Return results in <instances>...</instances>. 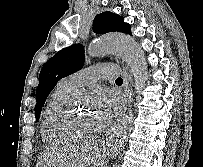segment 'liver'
Here are the masks:
<instances>
[{"mask_svg": "<svg viewBox=\"0 0 203 167\" xmlns=\"http://www.w3.org/2000/svg\"><path fill=\"white\" fill-rule=\"evenodd\" d=\"M98 148L93 145L67 146L59 150L45 151L37 167H86L92 164Z\"/></svg>", "mask_w": 203, "mask_h": 167, "instance_id": "liver-1", "label": "liver"}]
</instances>
